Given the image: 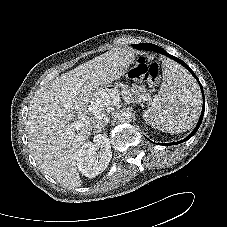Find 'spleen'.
<instances>
[{
  "instance_id": "spleen-1",
  "label": "spleen",
  "mask_w": 227,
  "mask_h": 227,
  "mask_svg": "<svg viewBox=\"0 0 227 227\" xmlns=\"http://www.w3.org/2000/svg\"><path fill=\"white\" fill-rule=\"evenodd\" d=\"M163 83L144 119L161 131L185 132L199 117L201 95L192 77L170 60L163 61Z\"/></svg>"
}]
</instances>
